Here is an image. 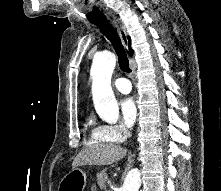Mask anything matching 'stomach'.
Masks as SVG:
<instances>
[{
	"label": "stomach",
	"instance_id": "obj_1",
	"mask_svg": "<svg viewBox=\"0 0 221 191\" xmlns=\"http://www.w3.org/2000/svg\"><path fill=\"white\" fill-rule=\"evenodd\" d=\"M86 183V173L80 168H73L60 181L58 191H83Z\"/></svg>",
	"mask_w": 221,
	"mask_h": 191
}]
</instances>
